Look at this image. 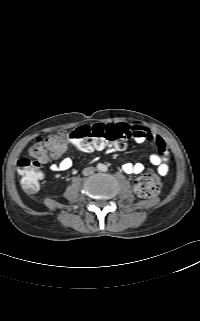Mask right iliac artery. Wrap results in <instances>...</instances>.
Here are the masks:
<instances>
[{
	"instance_id": "82829eb1",
	"label": "right iliac artery",
	"mask_w": 200,
	"mask_h": 321,
	"mask_svg": "<svg viewBox=\"0 0 200 321\" xmlns=\"http://www.w3.org/2000/svg\"><path fill=\"white\" fill-rule=\"evenodd\" d=\"M98 168H99V169L101 168V165H100V164L98 165Z\"/></svg>"
}]
</instances>
